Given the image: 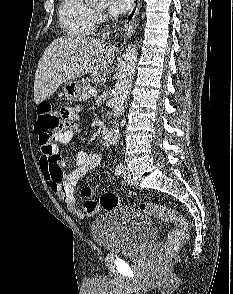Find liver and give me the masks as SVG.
<instances>
[{
	"label": "liver",
	"instance_id": "liver-1",
	"mask_svg": "<svg viewBox=\"0 0 233 294\" xmlns=\"http://www.w3.org/2000/svg\"><path fill=\"white\" fill-rule=\"evenodd\" d=\"M116 48L102 39L65 36L53 40L44 51L34 80L36 104L49 98L63 82L87 73H105L114 60Z\"/></svg>",
	"mask_w": 233,
	"mask_h": 294
}]
</instances>
